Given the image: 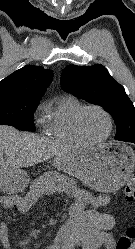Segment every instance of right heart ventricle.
<instances>
[{"label": "right heart ventricle", "instance_id": "1", "mask_svg": "<svg viewBox=\"0 0 135 249\" xmlns=\"http://www.w3.org/2000/svg\"><path fill=\"white\" fill-rule=\"evenodd\" d=\"M83 106L82 102L74 96H65L48 104L45 107L44 128L46 134L63 144H86L74 127L75 115Z\"/></svg>", "mask_w": 135, "mask_h": 249}]
</instances>
